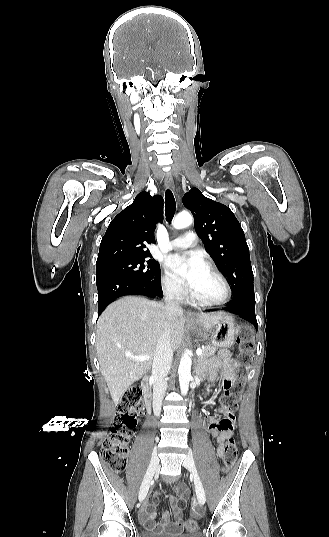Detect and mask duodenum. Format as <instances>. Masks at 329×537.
<instances>
[{"instance_id": "obj_1", "label": "duodenum", "mask_w": 329, "mask_h": 537, "mask_svg": "<svg viewBox=\"0 0 329 537\" xmlns=\"http://www.w3.org/2000/svg\"><path fill=\"white\" fill-rule=\"evenodd\" d=\"M143 396H144V406L147 413L151 411L152 404V392H151V383L149 377H145L142 381Z\"/></svg>"}]
</instances>
